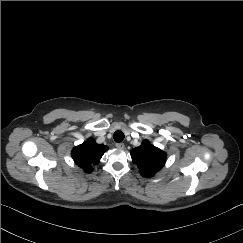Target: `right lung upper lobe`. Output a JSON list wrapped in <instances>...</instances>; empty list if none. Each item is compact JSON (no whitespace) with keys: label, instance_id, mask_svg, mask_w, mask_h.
<instances>
[{"label":"right lung upper lobe","instance_id":"obj_1","mask_svg":"<svg viewBox=\"0 0 243 243\" xmlns=\"http://www.w3.org/2000/svg\"><path fill=\"white\" fill-rule=\"evenodd\" d=\"M107 150V146L97 144L94 139L89 138L86 142L74 147L71 155L79 167L85 172L90 173L92 166L100 162L102 155Z\"/></svg>","mask_w":243,"mask_h":243}]
</instances>
